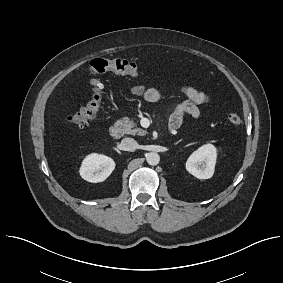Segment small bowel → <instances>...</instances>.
<instances>
[{"instance_id": "c3829d8e", "label": "small bowel", "mask_w": 283, "mask_h": 283, "mask_svg": "<svg viewBox=\"0 0 283 283\" xmlns=\"http://www.w3.org/2000/svg\"><path fill=\"white\" fill-rule=\"evenodd\" d=\"M131 93L135 96L144 98L148 102H157L162 97L159 90L155 88H147L143 85L132 87ZM181 93L187 100L178 104L170 116L169 127L173 130L180 128L186 115L197 119L200 116L199 106L210 102L208 95L191 86L182 87Z\"/></svg>"}]
</instances>
